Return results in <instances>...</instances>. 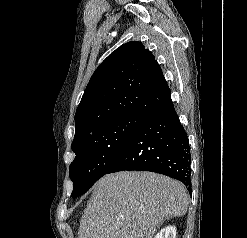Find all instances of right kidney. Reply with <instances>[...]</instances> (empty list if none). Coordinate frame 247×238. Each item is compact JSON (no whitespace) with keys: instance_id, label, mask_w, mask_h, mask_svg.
Listing matches in <instances>:
<instances>
[{"instance_id":"obj_1","label":"right kidney","mask_w":247,"mask_h":238,"mask_svg":"<svg viewBox=\"0 0 247 238\" xmlns=\"http://www.w3.org/2000/svg\"><path fill=\"white\" fill-rule=\"evenodd\" d=\"M155 238H176V228L174 226H167L161 229Z\"/></svg>"}]
</instances>
